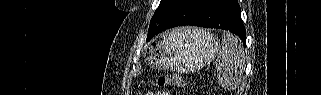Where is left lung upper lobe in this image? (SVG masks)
<instances>
[{
  "label": "left lung upper lobe",
  "mask_w": 321,
  "mask_h": 95,
  "mask_svg": "<svg viewBox=\"0 0 321 95\" xmlns=\"http://www.w3.org/2000/svg\"><path fill=\"white\" fill-rule=\"evenodd\" d=\"M174 0H161L158 8L156 9L148 29V36L155 31L158 24L161 22L171 5L173 4ZM147 36V37H148Z\"/></svg>",
  "instance_id": "1"
}]
</instances>
